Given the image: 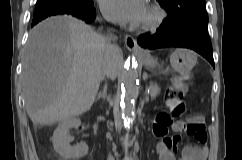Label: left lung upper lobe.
Listing matches in <instances>:
<instances>
[{"mask_svg": "<svg viewBox=\"0 0 242 160\" xmlns=\"http://www.w3.org/2000/svg\"><path fill=\"white\" fill-rule=\"evenodd\" d=\"M167 11L163 24L171 31L187 25L208 24L205 0H157Z\"/></svg>", "mask_w": 242, "mask_h": 160, "instance_id": "1", "label": "left lung upper lobe"}]
</instances>
